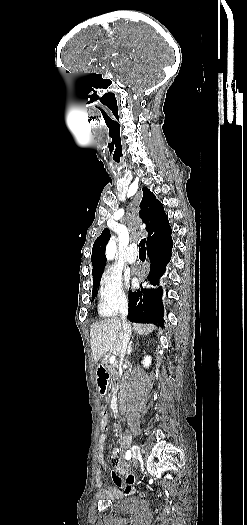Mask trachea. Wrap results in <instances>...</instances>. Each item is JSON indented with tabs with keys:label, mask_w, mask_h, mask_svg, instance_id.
I'll return each mask as SVG.
<instances>
[{
	"label": "trachea",
	"mask_w": 247,
	"mask_h": 525,
	"mask_svg": "<svg viewBox=\"0 0 247 525\" xmlns=\"http://www.w3.org/2000/svg\"><path fill=\"white\" fill-rule=\"evenodd\" d=\"M145 244H146V238H142V240H140V243H139V252L142 253V252H146V247H145Z\"/></svg>",
	"instance_id": "obj_1"
}]
</instances>
